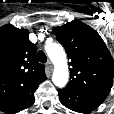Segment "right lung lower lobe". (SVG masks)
<instances>
[{"label": "right lung lower lobe", "instance_id": "obj_1", "mask_svg": "<svg viewBox=\"0 0 114 114\" xmlns=\"http://www.w3.org/2000/svg\"><path fill=\"white\" fill-rule=\"evenodd\" d=\"M35 90L14 98L7 103L1 104L0 110L8 114H13L31 106L35 101Z\"/></svg>", "mask_w": 114, "mask_h": 114}]
</instances>
